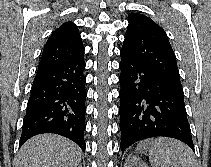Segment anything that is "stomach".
<instances>
[{
  "label": "stomach",
  "mask_w": 211,
  "mask_h": 167,
  "mask_svg": "<svg viewBox=\"0 0 211 167\" xmlns=\"http://www.w3.org/2000/svg\"><path fill=\"white\" fill-rule=\"evenodd\" d=\"M152 141L153 140L145 141V142L139 144L138 150L142 153L147 151V150H150Z\"/></svg>",
  "instance_id": "0dacf381"
}]
</instances>
